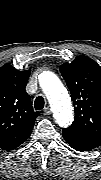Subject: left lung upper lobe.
<instances>
[{"mask_svg":"<svg viewBox=\"0 0 101 180\" xmlns=\"http://www.w3.org/2000/svg\"><path fill=\"white\" fill-rule=\"evenodd\" d=\"M75 105L73 124L63 131L101 142V68L87 56L60 67Z\"/></svg>","mask_w":101,"mask_h":180,"instance_id":"left-lung-upper-lobe-1","label":"left lung upper lobe"}]
</instances>
